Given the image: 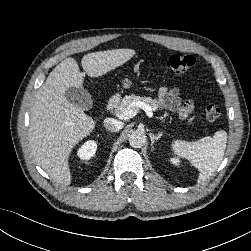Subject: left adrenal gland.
<instances>
[{"label":"left adrenal gland","instance_id":"left-adrenal-gland-1","mask_svg":"<svg viewBox=\"0 0 251 251\" xmlns=\"http://www.w3.org/2000/svg\"><path fill=\"white\" fill-rule=\"evenodd\" d=\"M149 136H150V140H151V145H153L155 141H157L161 138L162 133H158L157 135L150 133Z\"/></svg>","mask_w":251,"mask_h":251}]
</instances>
